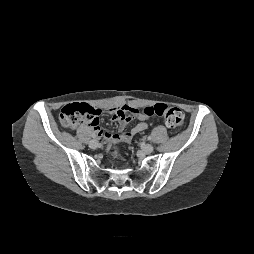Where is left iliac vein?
<instances>
[{"instance_id": "1", "label": "left iliac vein", "mask_w": 254, "mask_h": 254, "mask_svg": "<svg viewBox=\"0 0 254 254\" xmlns=\"http://www.w3.org/2000/svg\"><path fill=\"white\" fill-rule=\"evenodd\" d=\"M142 150H143L144 153L150 154V153H152V151H153V145H152V144H145V145L142 147Z\"/></svg>"}]
</instances>
